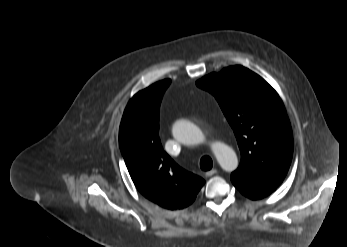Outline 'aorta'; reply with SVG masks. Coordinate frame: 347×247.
Masks as SVG:
<instances>
[{
	"label": "aorta",
	"mask_w": 347,
	"mask_h": 247,
	"mask_svg": "<svg viewBox=\"0 0 347 247\" xmlns=\"http://www.w3.org/2000/svg\"><path fill=\"white\" fill-rule=\"evenodd\" d=\"M173 137L185 145L199 144L204 141V135L199 127L187 120H177L172 127ZM213 153L221 166L227 172L238 167V158L235 151L224 143L213 145Z\"/></svg>",
	"instance_id": "aorta-1"
}]
</instances>
